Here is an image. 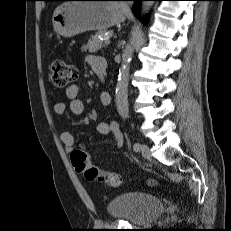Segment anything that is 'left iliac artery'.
<instances>
[{
  "label": "left iliac artery",
  "mask_w": 231,
  "mask_h": 231,
  "mask_svg": "<svg viewBox=\"0 0 231 231\" xmlns=\"http://www.w3.org/2000/svg\"><path fill=\"white\" fill-rule=\"evenodd\" d=\"M140 147H141V145L139 144V143H135L134 145H133V149H134V151H139L140 150Z\"/></svg>",
  "instance_id": "1"
}]
</instances>
